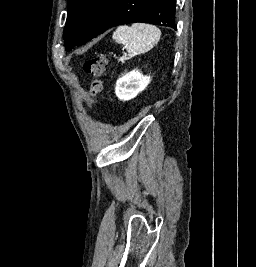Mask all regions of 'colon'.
I'll use <instances>...</instances> for the list:
<instances>
[{"label": "colon", "mask_w": 256, "mask_h": 267, "mask_svg": "<svg viewBox=\"0 0 256 267\" xmlns=\"http://www.w3.org/2000/svg\"><path fill=\"white\" fill-rule=\"evenodd\" d=\"M108 67L105 57L97 56L87 58L84 62V72L92 77L90 93L92 97L99 96L103 91V75Z\"/></svg>", "instance_id": "1"}]
</instances>
